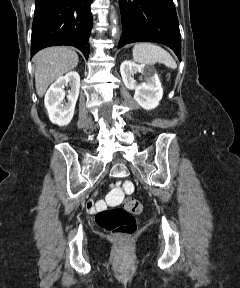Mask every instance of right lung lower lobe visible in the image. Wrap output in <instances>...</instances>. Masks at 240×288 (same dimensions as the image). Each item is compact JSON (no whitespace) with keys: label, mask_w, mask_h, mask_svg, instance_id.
<instances>
[{"label":"right lung lower lobe","mask_w":240,"mask_h":288,"mask_svg":"<svg viewBox=\"0 0 240 288\" xmlns=\"http://www.w3.org/2000/svg\"><path fill=\"white\" fill-rule=\"evenodd\" d=\"M93 0H36L32 25L31 56L56 45L74 46L89 55Z\"/></svg>","instance_id":"obj_1"}]
</instances>
